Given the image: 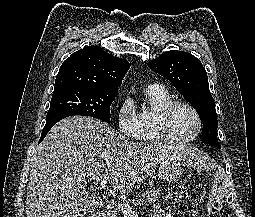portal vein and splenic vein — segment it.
<instances>
[{
    "label": "portal vein and splenic vein",
    "mask_w": 255,
    "mask_h": 217,
    "mask_svg": "<svg viewBox=\"0 0 255 217\" xmlns=\"http://www.w3.org/2000/svg\"><path fill=\"white\" fill-rule=\"evenodd\" d=\"M109 181V177H104L101 179L100 186L104 188ZM118 208L122 211L124 215L133 216L132 207L127 203H118Z\"/></svg>",
    "instance_id": "18ae733b"
}]
</instances>
